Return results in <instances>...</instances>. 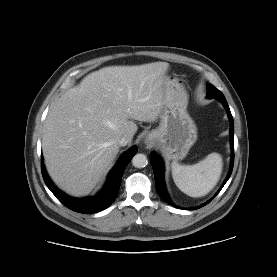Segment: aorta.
I'll return each instance as SVG.
<instances>
[{
	"label": "aorta",
	"instance_id": "obj_1",
	"mask_svg": "<svg viewBox=\"0 0 277 277\" xmlns=\"http://www.w3.org/2000/svg\"><path fill=\"white\" fill-rule=\"evenodd\" d=\"M132 164L136 168H144L147 164V157L144 154H136L132 159Z\"/></svg>",
	"mask_w": 277,
	"mask_h": 277
}]
</instances>
